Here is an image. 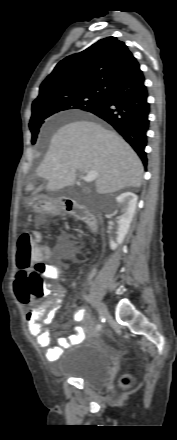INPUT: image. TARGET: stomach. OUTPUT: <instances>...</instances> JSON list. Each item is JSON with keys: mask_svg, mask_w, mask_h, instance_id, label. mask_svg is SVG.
<instances>
[{"mask_svg": "<svg viewBox=\"0 0 177 440\" xmlns=\"http://www.w3.org/2000/svg\"><path fill=\"white\" fill-rule=\"evenodd\" d=\"M27 208L42 215L55 214L60 211V205L56 199L43 196L32 197L27 204Z\"/></svg>", "mask_w": 177, "mask_h": 440, "instance_id": "1", "label": "stomach"}]
</instances>
